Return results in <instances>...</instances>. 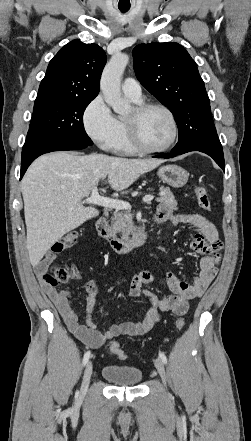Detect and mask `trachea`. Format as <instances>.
I'll return each mask as SVG.
<instances>
[{
    "instance_id": "1",
    "label": "trachea",
    "mask_w": 251,
    "mask_h": 441,
    "mask_svg": "<svg viewBox=\"0 0 251 441\" xmlns=\"http://www.w3.org/2000/svg\"><path fill=\"white\" fill-rule=\"evenodd\" d=\"M119 10H120L122 13H125V12H127V11L129 10V8H119Z\"/></svg>"
}]
</instances>
